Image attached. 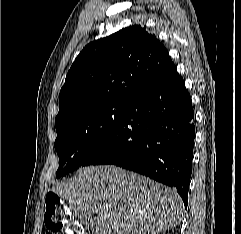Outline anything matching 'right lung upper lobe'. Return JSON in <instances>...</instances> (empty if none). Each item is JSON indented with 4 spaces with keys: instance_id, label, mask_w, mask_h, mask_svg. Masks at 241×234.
<instances>
[{
    "instance_id": "right-lung-upper-lobe-1",
    "label": "right lung upper lobe",
    "mask_w": 241,
    "mask_h": 234,
    "mask_svg": "<svg viewBox=\"0 0 241 234\" xmlns=\"http://www.w3.org/2000/svg\"><path fill=\"white\" fill-rule=\"evenodd\" d=\"M173 66L164 45L141 25L91 42L75 59L60 90L56 129L87 108L130 104Z\"/></svg>"
}]
</instances>
